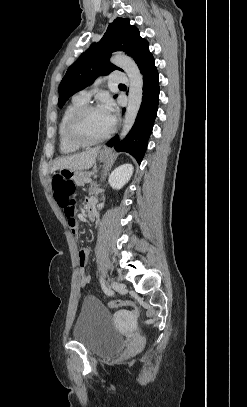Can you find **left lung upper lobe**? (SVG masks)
Segmentation results:
<instances>
[{"mask_svg":"<svg viewBox=\"0 0 247 407\" xmlns=\"http://www.w3.org/2000/svg\"><path fill=\"white\" fill-rule=\"evenodd\" d=\"M129 22V19L117 18L109 24L101 40L93 43L69 67L59 85V107H62L74 93L91 85L99 75L108 74L116 69L122 70L109 62L111 53L124 51L138 64L149 52L148 42L140 37L138 29Z\"/></svg>","mask_w":247,"mask_h":407,"instance_id":"left-lung-upper-lobe-1","label":"left lung upper lobe"}]
</instances>
